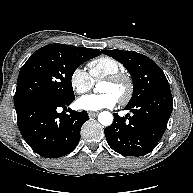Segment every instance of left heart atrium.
I'll use <instances>...</instances> for the list:
<instances>
[{
    "label": "left heart atrium",
    "mask_w": 193,
    "mask_h": 193,
    "mask_svg": "<svg viewBox=\"0 0 193 193\" xmlns=\"http://www.w3.org/2000/svg\"><path fill=\"white\" fill-rule=\"evenodd\" d=\"M118 99L111 93L87 94L79 97L76 107L84 111H98L104 108H113Z\"/></svg>",
    "instance_id": "left-heart-atrium-1"
}]
</instances>
